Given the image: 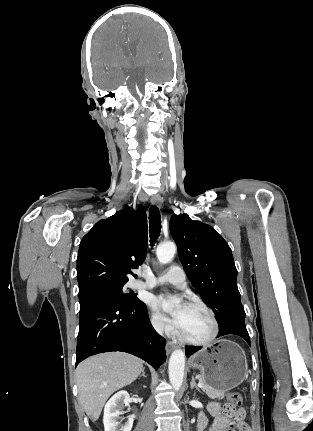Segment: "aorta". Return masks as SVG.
<instances>
[{
	"label": "aorta",
	"mask_w": 313,
	"mask_h": 431,
	"mask_svg": "<svg viewBox=\"0 0 313 431\" xmlns=\"http://www.w3.org/2000/svg\"><path fill=\"white\" fill-rule=\"evenodd\" d=\"M176 245L173 242L160 244L156 255L161 264L169 263L175 255ZM185 367V353L181 349L172 352L169 359V379L172 387L178 391L181 388Z\"/></svg>",
	"instance_id": "aorta-1"
}]
</instances>
